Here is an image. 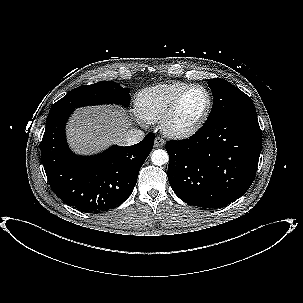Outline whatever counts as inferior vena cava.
<instances>
[{
	"mask_svg": "<svg viewBox=\"0 0 303 303\" xmlns=\"http://www.w3.org/2000/svg\"><path fill=\"white\" fill-rule=\"evenodd\" d=\"M145 134L139 129H129L121 135V143L125 146L134 145L143 140Z\"/></svg>",
	"mask_w": 303,
	"mask_h": 303,
	"instance_id": "inferior-vena-cava-1",
	"label": "inferior vena cava"
}]
</instances>
